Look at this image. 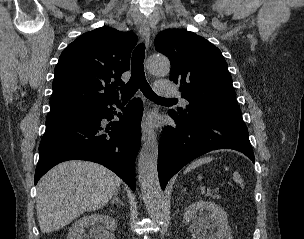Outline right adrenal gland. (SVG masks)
Here are the masks:
<instances>
[{"mask_svg": "<svg viewBox=\"0 0 304 239\" xmlns=\"http://www.w3.org/2000/svg\"><path fill=\"white\" fill-rule=\"evenodd\" d=\"M111 203L112 204H114V203H119V204H121V205H124L123 204V202L119 199V197H118V191H116L115 193H114V198H113V200L111 201Z\"/></svg>", "mask_w": 304, "mask_h": 239, "instance_id": "1", "label": "right adrenal gland"}]
</instances>
